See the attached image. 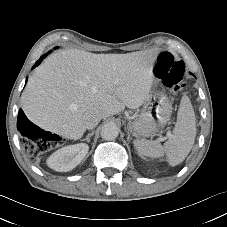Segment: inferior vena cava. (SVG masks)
Instances as JSON below:
<instances>
[{"instance_id":"obj_1","label":"inferior vena cava","mask_w":227,"mask_h":227,"mask_svg":"<svg viewBox=\"0 0 227 227\" xmlns=\"http://www.w3.org/2000/svg\"><path fill=\"white\" fill-rule=\"evenodd\" d=\"M101 115L99 113H91L86 116L85 125L87 129H93L101 120Z\"/></svg>"}]
</instances>
